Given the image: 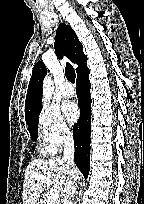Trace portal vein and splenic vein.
I'll return each mask as SVG.
<instances>
[{
    "mask_svg": "<svg viewBox=\"0 0 144 204\" xmlns=\"http://www.w3.org/2000/svg\"><path fill=\"white\" fill-rule=\"evenodd\" d=\"M35 181L39 182H44L47 186L51 185L52 181L46 176L39 175L35 177ZM60 198V194L56 190H50L48 192V199H47V204H54L58 199Z\"/></svg>",
    "mask_w": 144,
    "mask_h": 204,
    "instance_id": "1",
    "label": "portal vein and splenic vein"
}]
</instances>
